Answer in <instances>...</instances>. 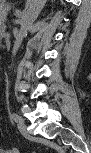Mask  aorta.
Instances as JSON below:
<instances>
[{
	"instance_id": "aorta-1",
	"label": "aorta",
	"mask_w": 91,
	"mask_h": 153,
	"mask_svg": "<svg viewBox=\"0 0 91 153\" xmlns=\"http://www.w3.org/2000/svg\"><path fill=\"white\" fill-rule=\"evenodd\" d=\"M45 4V0H28L27 6L25 9V16L22 20L21 27L18 35L14 41V46L12 49V56H15L18 49L20 48L24 36L27 34L28 29L38 17L41 12L43 6Z\"/></svg>"
}]
</instances>
